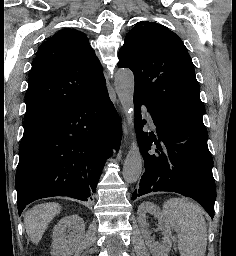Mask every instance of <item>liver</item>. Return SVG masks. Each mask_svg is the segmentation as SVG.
<instances>
[{"label":"liver","instance_id":"obj_1","mask_svg":"<svg viewBox=\"0 0 236 256\" xmlns=\"http://www.w3.org/2000/svg\"><path fill=\"white\" fill-rule=\"evenodd\" d=\"M61 206L55 202L39 204L28 210L24 216L26 232L33 244H39L45 230H47L53 218L60 214Z\"/></svg>","mask_w":236,"mask_h":256}]
</instances>
